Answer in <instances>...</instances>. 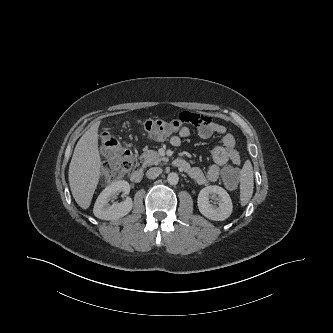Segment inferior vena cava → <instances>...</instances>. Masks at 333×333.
Returning a JSON list of instances; mask_svg holds the SVG:
<instances>
[{"label": "inferior vena cava", "instance_id": "602c4592", "mask_svg": "<svg viewBox=\"0 0 333 333\" xmlns=\"http://www.w3.org/2000/svg\"><path fill=\"white\" fill-rule=\"evenodd\" d=\"M162 173V169L160 167H152L146 172V176L149 179H155Z\"/></svg>", "mask_w": 333, "mask_h": 333}]
</instances>
